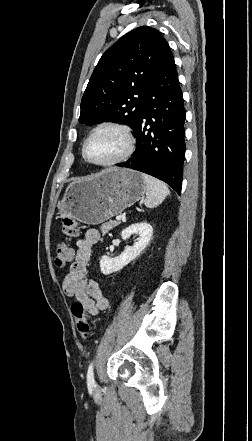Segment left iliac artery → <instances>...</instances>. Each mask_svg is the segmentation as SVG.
Wrapping results in <instances>:
<instances>
[{
  "label": "left iliac artery",
  "mask_w": 252,
  "mask_h": 441,
  "mask_svg": "<svg viewBox=\"0 0 252 441\" xmlns=\"http://www.w3.org/2000/svg\"><path fill=\"white\" fill-rule=\"evenodd\" d=\"M87 383L88 384H95L94 374H93V362L89 365V368H88Z\"/></svg>",
  "instance_id": "left-iliac-artery-1"
}]
</instances>
